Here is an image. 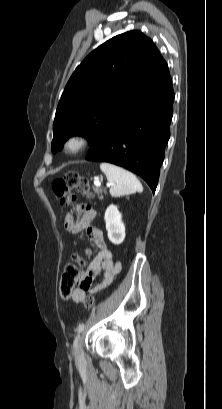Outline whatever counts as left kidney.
I'll list each match as a JSON object with an SVG mask.
<instances>
[{
	"mask_svg": "<svg viewBox=\"0 0 222 409\" xmlns=\"http://www.w3.org/2000/svg\"><path fill=\"white\" fill-rule=\"evenodd\" d=\"M108 238L113 244H121L125 239V226L117 206L111 204L104 215Z\"/></svg>",
	"mask_w": 222,
	"mask_h": 409,
	"instance_id": "5707ae66",
	"label": "left kidney"
}]
</instances>
